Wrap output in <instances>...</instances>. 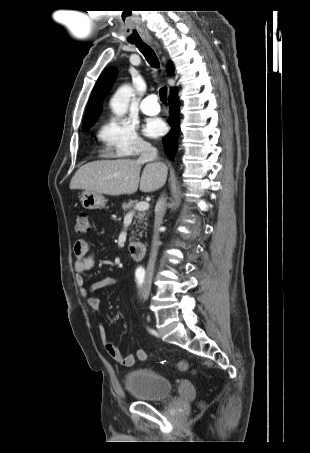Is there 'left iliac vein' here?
<instances>
[{"label": "left iliac vein", "instance_id": "left-iliac-vein-1", "mask_svg": "<svg viewBox=\"0 0 310 453\" xmlns=\"http://www.w3.org/2000/svg\"><path fill=\"white\" fill-rule=\"evenodd\" d=\"M149 295V287L148 284L146 283L143 290H142V297L143 299H146Z\"/></svg>", "mask_w": 310, "mask_h": 453}]
</instances>
